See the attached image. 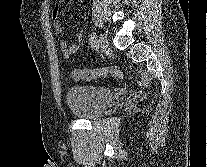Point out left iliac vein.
I'll return each mask as SVG.
<instances>
[{"label": "left iliac vein", "mask_w": 207, "mask_h": 167, "mask_svg": "<svg viewBox=\"0 0 207 167\" xmlns=\"http://www.w3.org/2000/svg\"><path fill=\"white\" fill-rule=\"evenodd\" d=\"M98 47L102 52H106L109 49V42L105 35H100L98 40Z\"/></svg>", "instance_id": "obj_1"}]
</instances>
